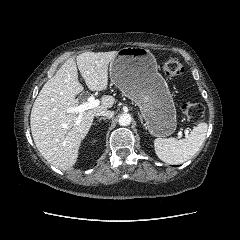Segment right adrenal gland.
<instances>
[{
	"label": "right adrenal gland",
	"mask_w": 240,
	"mask_h": 240,
	"mask_svg": "<svg viewBox=\"0 0 240 240\" xmlns=\"http://www.w3.org/2000/svg\"><path fill=\"white\" fill-rule=\"evenodd\" d=\"M106 119H107V118H105V117H101V118L98 119V121L106 120Z\"/></svg>",
	"instance_id": "right-adrenal-gland-1"
}]
</instances>
